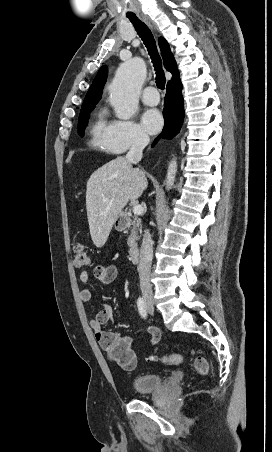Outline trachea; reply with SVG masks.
<instances>
[{
	"mask_svg": "<svg viewBox=\"0 0 272 452\" xmlns=\"http://www.w3.org/2000/svg\"><path fill=\"white\" fill-rule=\"evenodd\" d=\"M128 19L133 24L136 29L138 35L144 42L145 46L148 49L149 55L152 59L153 66L156 71V85L159 89L164 90L165 87V74L162 70V61L160 55L157 50L156 42L154 40L153 34L150 29L141 22L135 15L128 16Z\"/></svg>",
	"mask_w": 272,
	"mask_h": 452,
	"instance_id": "1",
	"label": "trachea"
}]
</instances>
